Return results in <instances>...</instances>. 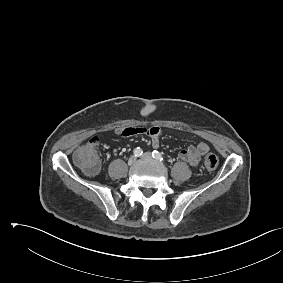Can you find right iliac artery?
Returning <instances> with one entry per match:
<instances>
[{"instance_id":"obj_1","label":"right iliac artery","mask_w":283,"mask_h":283,"mask_svg":"<svg viewBox=\"0 0 283 283\" xmlns=\"http://www.w3.org/2000/svg\"><path fill=\"white\" fill-rule=\"evenodd\" d=\"M143 151L140 147H137L135 150H134V155L136 157H140L142 155Z\"/></svg>"}]
</instances>
